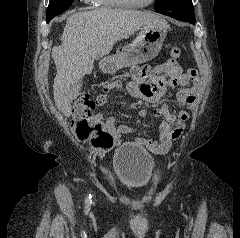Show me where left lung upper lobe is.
Returning <instances> with one entry per match:
<instances>
[{
    "label": "left lung upper lobe",
    "instance_id": "obj_1",
    "mask_svg": "<svg viewBox=\"0 0 240 238\" xmlns=\"http://www.w3.org/2000/svg\"><path fill=\"white\" fill-rule=\"evenodd\" d=\"M154 8L157 12H177L194 16L191 0H156Z\"/></svg>",
    "mask_w": 240,
    "mask_h": 238
}]
</instances>
